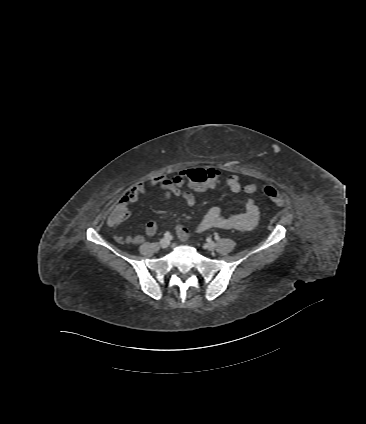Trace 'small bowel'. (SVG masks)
Masks as SVG:
<instances>
[{
	"mask_svg": "<svg viewBox=\"0 0 366 424\" xmlns=\"http://www.w3.org/2000/svg\"><path fill=\"white\" fill-rule=\"evenodd\" d=\"M216 172V176L202 189H194V191H203L208 188H213L220 181V172L216 169H212ZM185 183V179L181 175L169 178L164 175L156 176L150 180L148 184L143 182L137 183L131 187L126 194L122 197L121 203L111 212L108 217L107 225L113 231V237L118 243H125L131 245H138L144 241V235L135 234L129 236H123L117 232V228L121 225L127 217H122L119 209L120 207H126L128 203L135 202L141 195L145 194L149 188L158 186L162 188L165 193L163 196V202L168 203L173 198H179L188 206H193L196 202L195 195L192 191L181 190L182 185ZM226 185L229 190L233 193H239L245 191L246 185L243 187L236 175H231L226 178ZM250 194V193H247ZM259 208L255 204L252 198H248L244 205V210L241 213L224 216L221 208L218 206L211 207L207 213L195 224L194 230L201 232L212 228L237 230L240 232H250L254 230L259 221ZM175 231L178 238L181 241H186L189 236L188 229L182 225L175 224ZM157 231V223L150 221L145 225V235L153 236Z\"/></svg>",
	"mask_w": 366,
	"mask_h": 424,
	"instance_id": "c3829d8e",
	"label": "small bowel"
}]
</instances>
